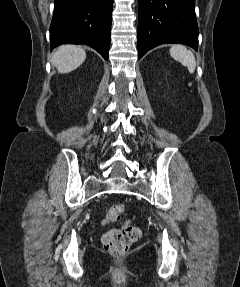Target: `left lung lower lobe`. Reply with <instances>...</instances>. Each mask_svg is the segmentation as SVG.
<instances>
[{
	"label": "left lung lower lobe",
	"instance_id": "1",
	"mask_svg": "<svg viewBox=\"0 0 240 287\" xmlns=\"http://www.w3.org/2000/svg\"><path fill=\"white\" fill-rule=\"evenodd\" d=\"M138 57L157 45L180 43L198 49L195 0H138Z\"/></svg>",
	"mask_w": 240,
	"mask_h": 287
}]
</instances>
